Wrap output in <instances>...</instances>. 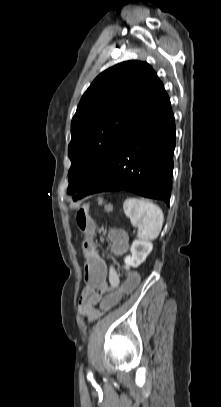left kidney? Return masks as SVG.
<instances>
[{
	"instance_id": "1",
	"label": "left kidney",
	"mask_w": 221,
	"mask_h": 407,
	"mask_svg": "<svg viewBox=\"0 0 221 407\" xmlns=\"http://www.w3.org/2000/svg\"><path fill=\"white\" fill-rule=\"evenodd\" d=\"M153 249V244L148 240H135L131 245V256L124 259L125 268L138 267L143 263Z\"/></svg>"
}]
</instances>
